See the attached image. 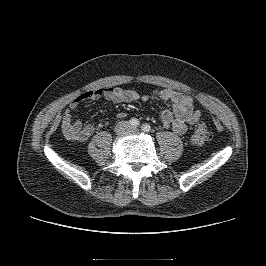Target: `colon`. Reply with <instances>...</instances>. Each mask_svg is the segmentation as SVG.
I'll use <instances>...</instances> for the list:
<instances>
[{"label": "colon", "instance_id": "obj_1", "mask_svg": "<svg viewBox=\"0 0 266 266\" xmlns=\"http://www.w3.org/2000/svg\"><path fill=\"white\" fill-rule=\"evenodd\" d=\"M212 138V133L208 125L204 122H198L191 135V142L196 146H202Z\"/></svg>", "mask_w": 266, "mask_h": 266}]
</instances>
